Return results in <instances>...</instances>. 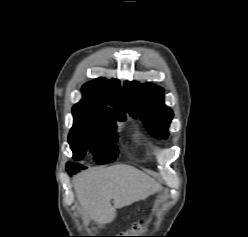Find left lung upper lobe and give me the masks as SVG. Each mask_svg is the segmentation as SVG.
<instances>
[{
    "mask_svg": "<svg viewBox=\"0 0 248 237\" xmlns=\"http://www.w3.org/2000/svg\"><path fill=\"white\" fill-rule=\"evenodd\" d=\"M124 94L130 114L140 118L151 135L166 138L173 117L170 108L164 105L163 90L152 84L125 83Z\"/></svg>",
    "mask_w": 248,
    "mask_h": 237,
    "instance_id": "1",
    "label": "left lung upper lobe"
}]
</instances>
